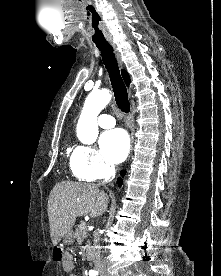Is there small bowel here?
Segmentation results:
<instances>
[{"instance_id":"obj_1","label":"small bowel","mask_w":221,"mask_h":276,"mask_svg":"<svg viewBox=\"0 0 221 276\" xmlns=\"http://www.w3.org/2000/svg\"><path fill=\"white\" fill-rule=\"evenodd\" d=\"M62 267L68 276H77L74 272V260L71 254L67 253L62 261Z\"/></svg>"}]
</instances>
